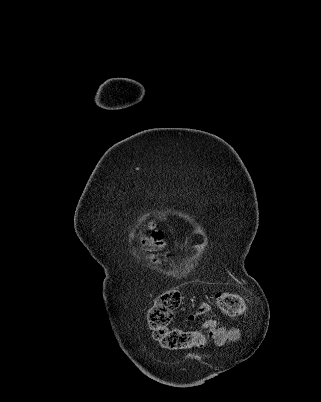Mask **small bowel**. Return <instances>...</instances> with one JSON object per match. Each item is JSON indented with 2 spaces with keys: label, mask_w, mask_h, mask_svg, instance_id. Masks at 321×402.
Returning <instances> with one entry per match:
<instances>
[{
  "label": "small bowel",
  "mask_w": 321,
  "mask_h": 402,
  "mask_svg": "<svg viewBox=\"0 0 321 402\" xmlns=\"http://www.w3.org/2000/svg\"><path fill=\"white\" fill-rule=\"evenodd\" d=\"M211 306L207 302L200 303L197 308L190 314L189 320L194 319L198 315L208 314L211 312ZM202 327L208 330L212 339L219 346L233 342L237 337L235 329L228 328L220 324L216 320H208L202 324ZM234 327H239V322H234Z\"/></svg>",
  "instance_id": "1"
}]
</instances>
